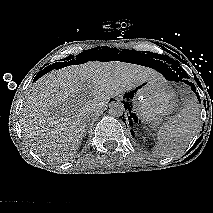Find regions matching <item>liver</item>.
<instances>
[{
	"instance_id": "1",
	"label": "liver",
	"mask_w": 213,
	"mask_h": 213,
	"mask_svg": "<svg viewBox=\"0 0 213 213\" xmlns=\"http://www.w3.org/2000/svg\"><path fill=\"white\" fill-rule=\"evenodd\" d=\"M161 76L148 67L122 61H89L54 69L29 89L21 114V129L32 150L49 161L62 163L76 154L92 112L137 85ZM88 91L84 103L78 96Z\"/></svg>"
}]
</instances>
